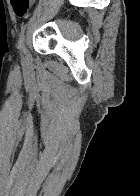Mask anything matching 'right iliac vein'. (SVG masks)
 Returning a JSON list of instances; mask_svg holds the SVG:
<instances>
[{
    "instance_id": "obj_1",
    "label": "right iliac vein",
    "mask_w": 140,
    "mask_h": 196,
    "mask_svg": "<svg viewBox=\"0 0 140 196\" xmlns=\"http://www.w3.org/2000/svg\"><path fill=\"white\" fill-rule=\"evenodd\" d=\"M25 62L29 65L30 64V57L29 55H26Z\"/></svg>"
}]
</instances>
